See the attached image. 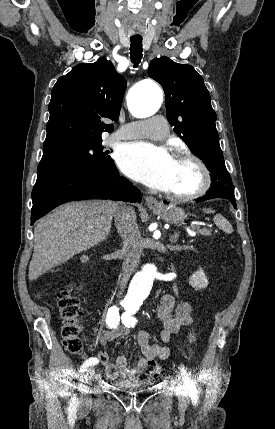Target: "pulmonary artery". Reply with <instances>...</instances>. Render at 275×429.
Returning <instances> with one entry per match:
<instances>
[{
    "label": "pulmonary artery",
    "mask_w": 275,
    "mask_h": 429,
    "mask_svg": "<svg viewBox=\"0 0 275 429\" xmlns=\"http://www.w3.org/2000/svg\"><path fill=\"white\" fill-rule=\"evenodd\" d=\"M169 130L165 119L155 116L149 120L134 121L120 127L114 134L113 140L135 138H151L162 140L168 136Z\"/></svg>",
    "instance_id": "1"
}]
</instances>
